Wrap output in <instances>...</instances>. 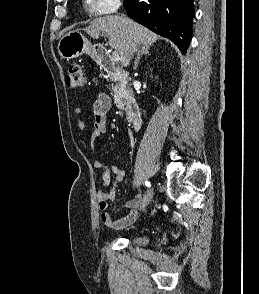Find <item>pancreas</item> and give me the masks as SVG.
<instances>
[{
    "instance_id": "obj_1",
    "label": "pancreas",
    "mask_w": 259,
    "mask_h": 294,
    "mask_svg": "<svg viewBox=\"0 0 259 294\" xmlns=\"http://www.w3.org/2000/svg\"><path fill=\"white\" fill-rule=\"evenodd\" d=\"M115 84L113 85L112 91H113V97L115 100V103L118 107L123 106V98L125 94L127 93L125 85L122 83L121 80H114Z\"/></svg>"
}]
</instances>
